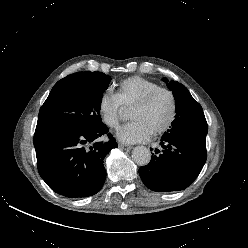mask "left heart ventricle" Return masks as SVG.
<instances>
[{
	"label": "left heart ventricle",
	"mask_w": 248,
	"mask_h": 248,
	"mask_svg": "<svg viewBox=\"0 0 248 248\" xmlns=\"http://www.w3.org/2000/svg\"><path fill=\"white\" fill-rule=\"evenodd\" d=\"M170 109L171 102L169 96L165 93H160L148 106L144 108L133 107L130 117L132 120L144 122L153 132L167 121Z\"/></svg>",
	"instance_id": "b2bd125f"
}]
</instances>
